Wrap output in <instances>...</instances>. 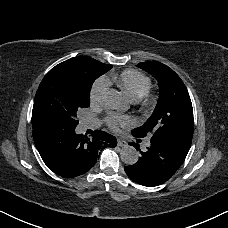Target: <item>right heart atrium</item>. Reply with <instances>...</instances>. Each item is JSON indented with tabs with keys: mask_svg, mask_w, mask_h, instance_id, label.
<instances>
[{
	"mask_svg": "<svg viewBox=\"0 0 228 228\" xmlns=\"http://www.w3.org/2000/svg\"><path fill=\"white\" fill-rule=\"evenodd\" d=\"M107 91H106V87L104 85L103 82H99L98 84H96L92 91H91V95H90V101L92 104H98L104 101L105 97H106Z\"/></svg>",
	"mask_w": 228,
	"mask_h": 228,
	"instance_id": "obj_1",
	"label": "right heart atrium"
}]
</instances>
